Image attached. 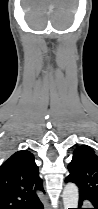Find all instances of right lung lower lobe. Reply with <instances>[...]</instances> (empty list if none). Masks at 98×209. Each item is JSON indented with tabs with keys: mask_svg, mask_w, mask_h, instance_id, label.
Returning <instances> with one entry per match:
<instances>
[{
	"mask_svg": "<svg viewBox=\"0 0 98 209\" xmlns=\"http://www.w3.org/2000/svg\"><path fill=\"white\" fill-rule=\"evenodd\" d=\"M23 209H43V204L38 198L36 201L24 207Z\"/></svg>",
	"mask_w": 98,
	"mask_h": 209,
	"instance_id": "98d812e1",
	"label": "right lung lower lobe"
}]
</instances>
